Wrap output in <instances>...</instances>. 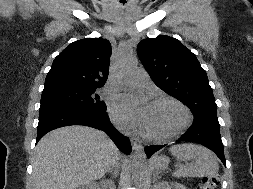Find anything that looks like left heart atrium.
<instances>
[{
    "label": "left heart atrium",
    "instance_id": "1",
    "mask_svg": "<svg viewBox=\"0 0 253 189\" xmlns=\"http://www.w3.org/2000/svg\"><path fill=\"white\" fill-rule=\"evenodd\" d=\"M150 111V104L143 100L138 105L122 98L112 108L115 120L124 126L145 129Z\"/></svg>",
    "mask_w": 253,
    "mask_h": 189
}]
</instances>
